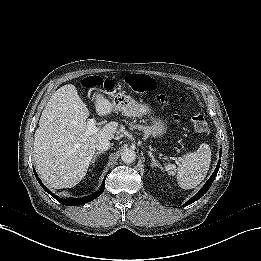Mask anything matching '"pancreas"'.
<instances>
[{"mask_svg": "<svg viewBox=\"0 0 261 261\" xmlns=\"http://www.w3.org/2000/svg\"><path fill=\"white\" fill-rule=\"evenodd\" d=\"M131 129H138L139 131H142L145 134L149 133L148 127L142 126V125H132Z\"/></svg>", "mask_w": 261, "mask_h": 261, "instance_id": "1", "label": "pancreas"}]
</instances>
